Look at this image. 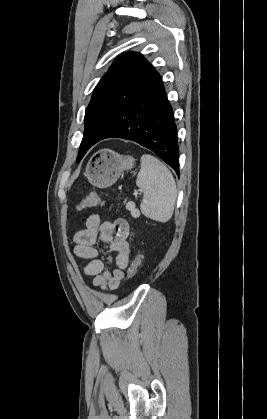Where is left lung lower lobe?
Here are the masks:
<instances>
[{"instance_id":"1","label":"left lung lower lobe","mask_w":267,"mask_h":419,"mask_svg":"<svg viewBox=\"0 0 267 419\" xmlns=\"http://www.w3.org/2000/svg\"><path fill=\"white\" fill-rule=\"evenodd\" d=\"M108 121L109 129H102L93 137L90 134L89 148L105 138L132 140L152 150L179 176L177 129L159 74L138 92L126 110L115 111Z\"/></svg>"}]
</instances>
